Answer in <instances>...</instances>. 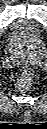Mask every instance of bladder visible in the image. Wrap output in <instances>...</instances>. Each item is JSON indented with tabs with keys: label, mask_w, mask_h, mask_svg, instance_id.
Instances as JSON below:
<instances>
[{
	"label": "bladder",
	"mask_w": 47,
	"mask_h": 129,
	"mask_svg": "<svg viewBox=\"0 0 47 129\" xmlns=\"http://www.w3.org/2000/svg\"><path fill=\"white\" fill-rule=\"evenodd\" d=\"M11 30L14 35L21 34L26 31L36 32L37 26L31 22H29V23L28 22H18V23L12 24Z\"/></svg>",
	"instance_id": "bladder-1"
}]
</instances>
